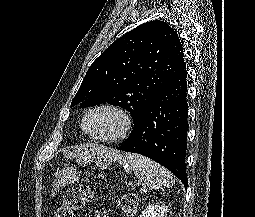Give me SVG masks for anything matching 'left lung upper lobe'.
Instances as JSON below:
<instances>
[{"label": "left lung upper lobe", "instance_id": "1", "mask_svg": "<svg viewBox=\"0 0 255 217\" xmlns=\"http://www.w3.org/2000/svg\"><path fill=\"white\" fill-rule=\"evenodd\" d=\"M182 46L177 32L163 21L137 26L92 63L71 107L107 102L129 111L135 126L151 100L183 66Z\"/></svg>", "mask_w": 255, "mask_h": 217}]
</instances>
